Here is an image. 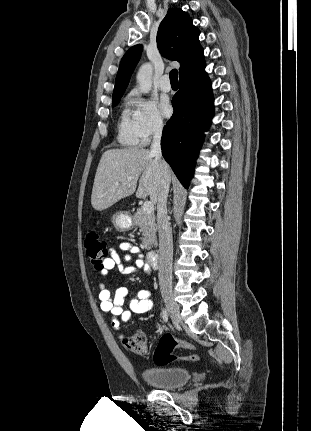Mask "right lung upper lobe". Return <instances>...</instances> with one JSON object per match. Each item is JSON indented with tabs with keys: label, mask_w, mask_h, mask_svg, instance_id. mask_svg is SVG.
Wrapping results in <instances>:
<instances>
[{
	"label": "right lung upper lobe",
	"mask_w": 311,
	"mask_h": 431,
	"mask_svg": "<svg viewBox=\"0 0 311 431\" xmlns=\"http://www.w3.org/2000/svg\"><path fill=\"white\" fill-rule=\"evenodd\" d=\"M199 34L200 31L192 24L190 16L178 8L169 9L159 25L157 47L163 57L180 63V79L193 74L205 64L203 49L198 40ZM141 52L142 45H135L122 57L113 98L123 95Z\"/></svg>",
	"instance_id": "right-lung-upper-lobe-1"
}]
</instances>
